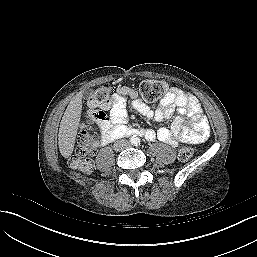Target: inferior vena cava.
Wrapping results in <instances>:
<instances>
[{
	"label": "inferior vena cava",
	"instance_id": "1",
	"mask_svg": "<svg viewBox=\"0 0 257 257\" xmlns=\"http://www.w3.org/2000/svg\"><path fill=\"white\" fill-rule=\"evenodd\" d=\"M128 146H129V142L126 139H120L114 143V149L117 151L123 150V149L127 148Z\"/></svg>",
	"mask_w": 257,
	"mask_h": 257
}]
</instances>
